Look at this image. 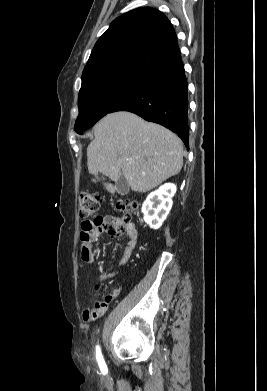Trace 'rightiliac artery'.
I'll list each match as a JSON object with an SVG mask.
<instances>
[{"label": "right iliac artery", "mask_w": 267, "mask_h": 391, "mask_svg": "<svg viewBox=\"0 0 267 391\" xmlns=\"http://www.w3.org/2000/svg\"><path fill=\"white\" fill-rule=\"evenodd\" d=\"M96 358L98 360V364L100 366V369L102 371H106V365H105V362H104V359H103V356L101 354L99 346H97V349H96Z\"/></svg>", "instance_id": "82829eb1"}]
</instances>
